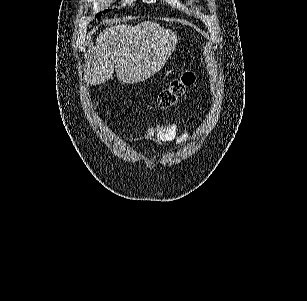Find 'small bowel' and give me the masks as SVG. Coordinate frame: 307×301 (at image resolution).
<instances>
[{
	"label": "small bowel",
	"mask_w": 307,
	"mask_h": 301,
	"mask_svg": "<svg viewBox=\"0 0 307 301\" xmlns=\"http://www.w3.org/2000/svg\"><path fill=\"white\" fill-rule=\"evenodd\" d=\"M142 137L156 138L162 143L176 140L179 144H185L189 139V133L186 130L179 133L178 126L174 122H159L146 127L142 132Z\"/></svg>",
	"instance_id": "obj_1"
}]
</instances>
